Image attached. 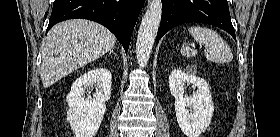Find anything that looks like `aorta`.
<instances>
[{"mask_svg":"<svg viewBox=\"0 0 280 137\" xmlns=\"http://www.w3.org/2000/svg\"><path fill=\"white\" fill-rule=\"evenodd\" d=\"M162 16V2L152 0L139 28L136 41V57L140 67L148 63Z\"/></svg>","mask_w":280,"mask_h":137,"instance_id":"1","label":"aorta"}]
</instances>
